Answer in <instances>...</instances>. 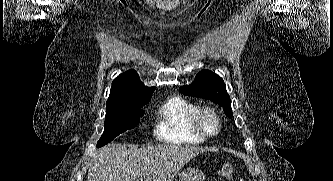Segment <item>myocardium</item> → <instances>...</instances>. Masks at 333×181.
Wrapping results in <instances>:
<instances>
[{
  "label": "myocardium",
  "instance_id": "obj_1",
  "mask_svg": "<svg viewBox=\"0 0 333 181\" xmlns=\"http://www.w3.org/2000/svg\"><path fill=\"white\" fill-rule=\"evenodd\" d=\"M207 116H211L216 122L215 131L209 132L204 127V119ZM194 128L204 138H210L216 136L221 130V119L218 112L211 107L199 108L194 117Z\"/></svg>",
  "mask_w": 333,
  "mask_h": 181
}]
</instances>
